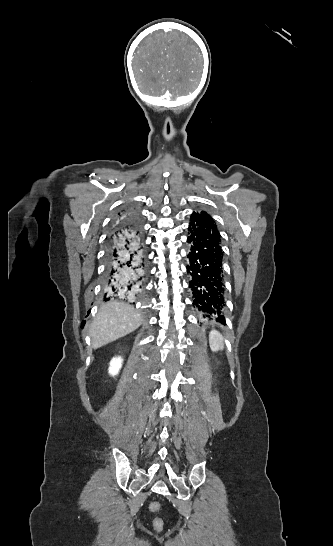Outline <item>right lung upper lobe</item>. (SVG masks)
<instances>
[{
	"mask_svg": "<svg viewBox=\"0 0 333 546\" xmlns=\"http://www.w3.org/2000/svg\"><path fill=\"white\" fill-rule=\"evenodd\" d=\"M119 216H121L120 213H119ZM119 219H120V218H119ZM118 226H124V224L122 223V221H120V224H119Z\"/></svg>",
	"mask_w": 333,
	"mask_h": 546,
	"instance_id": "1",
	"label": "right lung upper lobe"
}]
</instances>
